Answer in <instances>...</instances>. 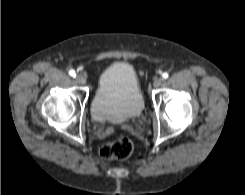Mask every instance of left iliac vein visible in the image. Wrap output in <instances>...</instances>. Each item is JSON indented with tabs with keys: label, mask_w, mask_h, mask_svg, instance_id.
<instances>
[{
	"label": "left iliac vein",
	"mask_w": 245,
	"mask_h": 195,
	"mask_svg": "<svg viewBox=\"0 0 245 195\" xmlns=\"http://www.w3.org/2000/svg\"><path fill=\"white\" fill-rule=\"evenodd\" d=\"M162 82H163V78L157 77V78H155L154 81H153V86H154L155 88H158V87H160V86L162 85Z\"/></svg>",
	"instance_id": "1"
}]
</instances>
